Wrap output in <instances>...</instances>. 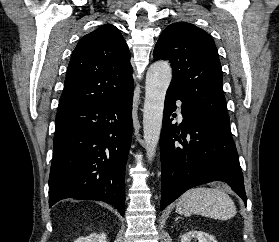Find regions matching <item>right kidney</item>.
Masks as SVG:
<instances>
[{"instance_id":"1","label":"right kidney","mask_w":279,"mask_h":242,"mask_svg":"<svg viewBox=\"0 0 279 242\" xmlns=\"http://www.w3.org/2000/svg\"><path fill=\"white\" fill-rule=\"evenodd\" d=\"M74 242H106V235L104 233H92L87 237H80L76 239Z\"/></svg>"}]
</instances>
